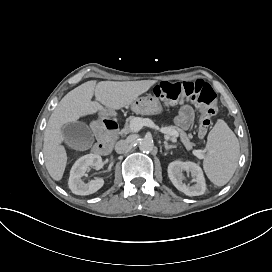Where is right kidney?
I'll return each instance as SVG.
<instances>
[{
  "mask_svg": "<svg viewBox=\"0 0 272 272\" xmlns=\"http://www.w3.org/2000/svg\"><path fill=\"white\" fill-rule=\"evenodd\" d=\"M101 163V156L96 154L84 155L74 163L68 180V186L72 193L76 195H89L95 193L104 185L102 178H95L88 183H84L81 179L90 167L99 169Z\"/></svg>",
  "mask_w": 272,
  "mask_h": 272,
  "instance_id": "1",
  "label": "right kidney"
}]
</instances>
